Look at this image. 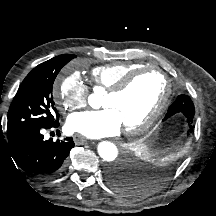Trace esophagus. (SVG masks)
<instances>
[{
  "mask_svg": "<svg viewBox=\"0 0 216 216\" xmlns=\"http://www.w3.org/2000/svg\"><path fill=\"white\" fill-rule=\"evenodd\" d=\"M73 140L77 145L84 144L87 142V139L81 134H74Z\"/></svg>",
  "mask_w": 216,
  "mask_h": 216,
  "instance_id": "1",
  "label": "esophagus"
}]
</instances>
